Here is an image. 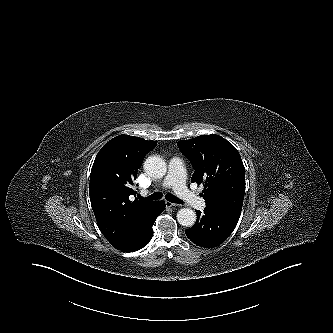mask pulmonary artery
Listing matches in <instances>:
<instances>
[{
	"label": "pulmonary artery",
	"instance_id": "obj_1",
	"mask_svg": "<svg viewBox=\"0 0 333 333\" xmlns=\"http://www.w3.org/2000/svg\"><path fill=\"white\" fill-rule=\"evenodd\" d=\"M162 187H172L178 197L193 208L203 209L205 207L204 200L187 188L185 183L184 163L179 157L171 159L169 172L162 182Z\"/></svg>",
	"mask_w": 333,
	"mask_h": 333
}]
</instances>
